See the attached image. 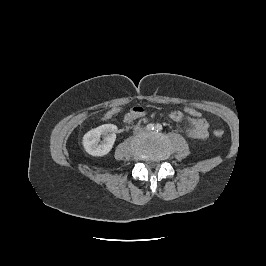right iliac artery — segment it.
I'll return each instance as SVG.
<instances>
[{
    "mask_svg": "<svg viewBox=\"0 0 266 266\" xmlns=\"http://www.w3.org/2000/svg\"><path fill=\"white\" fill-rule=\"evenodd\" d=\"M147 130L151 131V130H154L155 126L154 124L150 123L146 126Z\"/></svg>",
    "mask_w": 266,
    "mask_h": 266,
    "instance_id": "1",
    "label": "right iliac artery"
}]
</instances>
